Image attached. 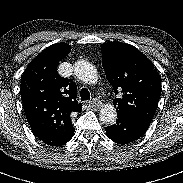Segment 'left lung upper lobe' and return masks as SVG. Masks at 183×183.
Returning <instances> with one entry per match:
<instances>
[{
    "label": "left lung upper lobe",
    "instance_id": "5c2ea615",
    "mask_svg": "<svg viewBox=\"0 0 183 183\" xmlns=\"http://www.w3.org/2000/svg\"><path fill=\"white\" fill-rule=\"evenodd\" d=\"M102 65L115 95L117 114L151 123L160 93L161 78L153 63L132 45L108 42L101 46Z\"/></svg>",
    "mask_w": 183,
    "mask_h": 183
}]
</instances>
